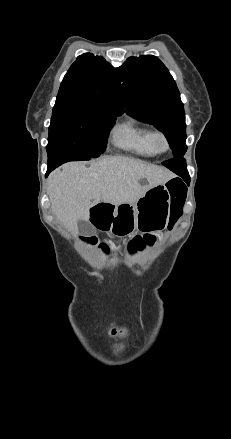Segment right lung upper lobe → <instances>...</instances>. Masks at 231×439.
I'll return each instance as SVG.
<instances>
[{
  "mask_svg": "<svg viewBox=\"0 0 231 439\" xmlns=\"http://www.w3.org/2000/svg\"><path fill=\"white\" fill-rule=\"evenodd\" d=\"M117 70L101 56H78L63 78L54 108L98 107L121 109Z\"/></svg>",
  "mask_w": 231,
  "mask_h": 439,
  "instance_id": "cb5924a9",
  "label": "right lung upper lobe"
}]
</instances>
